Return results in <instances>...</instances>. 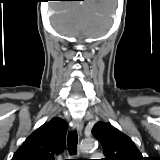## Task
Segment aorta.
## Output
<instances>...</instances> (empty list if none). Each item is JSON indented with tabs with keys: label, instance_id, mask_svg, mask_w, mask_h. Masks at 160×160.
Masks as SVG:
<instances>
[{
	"label": "aorta",
	"instance_id": "1",
	"mask_svg": "<svg viewBox=\"0 0 160 160\" xmlns=\"http://www.w3.org/2000/svg\"><path fill=\"white\" fill-rule=\"evenodd\" d=\"M96 146V141L93 138L85 139L82 141L80 148L83 152H87Z\"/></svg>",
	"mask_w": 160,
	"mask_h": 160
}]
</instances>
